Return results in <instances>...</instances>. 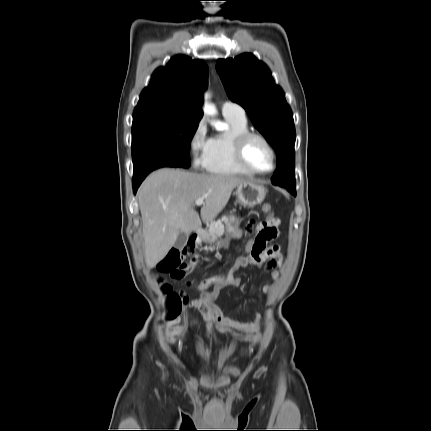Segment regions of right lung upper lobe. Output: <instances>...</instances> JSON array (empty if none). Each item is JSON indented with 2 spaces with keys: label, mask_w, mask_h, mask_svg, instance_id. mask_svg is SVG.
<instances>
[{
  "label": "right lung upper lobe",
  "mask_w": 431,
  "mask_h": 431,
  "mask_svg": "<svg viewBox=\"0 0 431 431\" xmlns=\"http://www.w3.org/2000/svg\"><path fill=\"white\" fill-rule=\"evenodd\" d=\"M207 73L204 61L174 56L166 66L154 71L140 95L133 118L162 116L200 121Z\"/></svg>",
  "instance_id": "obj_1"
}]
</instances>
